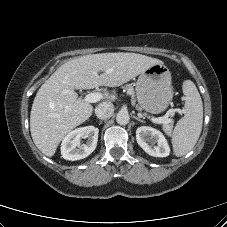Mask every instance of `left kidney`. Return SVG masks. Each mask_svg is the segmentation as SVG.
Here are the masks:
<instances>
[{
	"label": "left kidney",
	"mask_w": 227,
	"mask_h": 227,
	"mask_svg": "<svg viewBox=\"0 0 227 227\" xmlns=\"http://www.w3.org/2000/svg\"><path fill=\"white\" fill-rule=\"evenodd\" d=\"M136 140L139 146L154 157H167L170 147L165 136L157 129L142 126L136 130Z\"/></svg>",
	"instance_id": "1"
}]
</instances>
